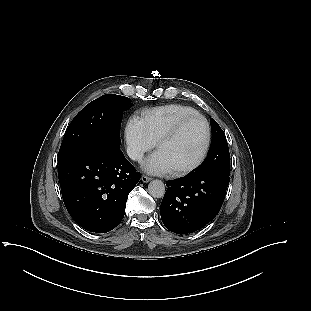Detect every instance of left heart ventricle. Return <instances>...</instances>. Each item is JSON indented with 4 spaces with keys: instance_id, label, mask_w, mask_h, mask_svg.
<instances>
[{
    "instance_id": "b2bd125f",
    "label": "left heart ventricle",
    "mask_w": 311,
    "mask_h": 311,
    "mask_svg": "<svg viewBox=\"0 0 311 311\" xmlns=\"http://www.w3.org/2000/svg\"><path fill=\"white\" fill-rule=\"evenodd\" d=\"M205 141V127L201 120L188 122L178 135L159 145L171 170H176L191 164L200 154Z\"/></svg>"
}]
</instances>
